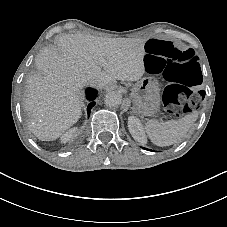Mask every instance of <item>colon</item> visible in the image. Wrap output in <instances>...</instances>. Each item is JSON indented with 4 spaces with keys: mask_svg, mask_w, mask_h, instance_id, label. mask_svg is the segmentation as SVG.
I'll return each instance as SVG.
<instances>
[{
    "mask_svg": "<svg viewBox=\"0 0 227 227\" xmlns=\"http://www.w3.org/2000/svg\"><path fill=\"white\" fill-rule=\"evenodd\" d=\"M145 65L168 83L163 92L166 110L172 115L197 108L201 96L193 90L202 81L199 58L191 49L181 50L172 42L150 39L145 44Z\"/></svg>",
    "mask_w": 227,
    "mask_h": 227,
    "instance_id": "colon-1",
    "label": "colon"
}]
</instances>
